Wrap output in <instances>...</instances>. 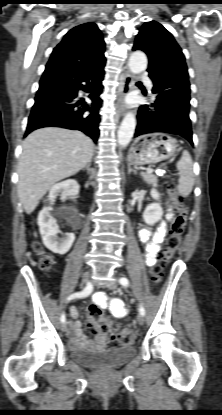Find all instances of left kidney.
Masks as SVG:
<instances>
[{
	"label": "left kidney",
	"mask_w": 222,
	"mask_h": 415,
	"mask_svg": "<svg viewBox=\"0 0 222 415\" xmlns=\"http://www.w3.org/2000/svg\"><path fill=\"white\" fill-rule=\"evenodd\" d=\"M150 194L153 199L157 201L159 200L160 194L157 192L156 189H152ZM162 215H163L162 207L160 206L158 202H154V203L149 204L146 207L143 213V218L147 224L153 225L162 218Z\"/></svg>",
	"instance_id": "left-kidney-1"
}]
</instances>
